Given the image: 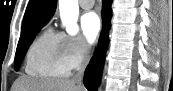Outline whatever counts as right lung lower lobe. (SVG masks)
I'll use <instances>...</instances> for the list:
<instances>
[{
  "label": "right lung lower lobe",
  "instance_id": "right-lung-lower-lobe-1",
  "mask_svg": "<svg viewBox=\"0 0 173 91\" xmlns=\"http://www.w3.org/2000/svg\"><path fill=\"white\" fill-rule=\"evenodd\" d=\"M111 0H103V21H104V30L102 38L99 42L98 48L96 50L94 58L91 60L90 64L87 66L84 75V85L89 91H95L100 78L103 68L105 51L108 43V29L110 26V17H111Z\"/></svg>",
  "mask_w": 173,
  "mask_h": 91
}]
</instances>
